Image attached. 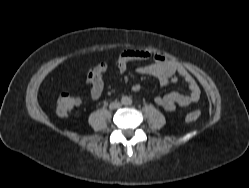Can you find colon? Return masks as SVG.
<instances>
[{"instance_id":"1","label":"colon","mask_w":249,"mask_h":188,"mask_svg":"<svg viewBox=\"0 0 249 188\" xmlns=\"http://www.w3.org/2000/svg\"><path fill=\"white\" fill-rule=\"evenodd\" d=\"M81 103V99L78 96L72 95L69 92H61L57 103L56 111L60 116H66L75 108H77ZM200 117V111L193 110L186 114L185 122L193 123L197 121Z\"/></svg>"}]
</instances>
